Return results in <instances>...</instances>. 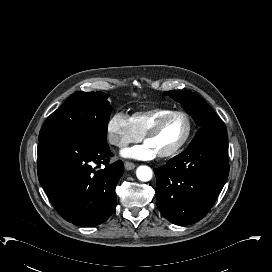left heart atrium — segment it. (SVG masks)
<instances>
[{"mask_svg":"<svg viewBox=\"0 0 272 272\" xmlns=\"http://www.w3.org/2000/svg\"><path fill=\"white\" fill-rule=\"evenodd\" d=\"M124 154L135 159L149 160L154 158L158 153L148 142H145L126 150Z\"/></svg>","mask_w":272,"mask_h":272,"instance_id":"1","label":"left heart atrium"}]
</instances>
